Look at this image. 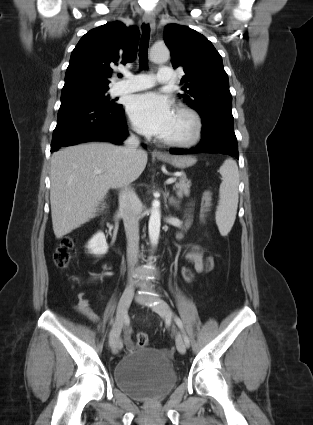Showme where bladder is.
Here are the masks:
<instances>
[{"mask_svg":"<svg viewBox=\"0 0 313 425\" xmlns=\"http://www.w3.org/2000/svg\"><path fill=\"white\" fill-rule=\"evenodd\" d=\"M114 380L128 396L147 401L167 395L176 384L177 376L164 350L142 347L117 362Z\"/></svg>","mask_w":313,"mask_h":425,"instance_id":"bladder-1","label":"bladder"}]
</instances>
